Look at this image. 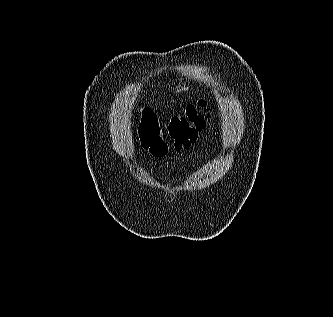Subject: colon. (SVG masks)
<instances>
[{
	"label": "colon",
	"instance_id": "obj_1",
	"mask_svg": "<svg viewBox=\"0 0 333 317\" xmlns=\"http://www.w3.org/2000/svg\"><path fill=\"white\" fill-rule=\"evenodd\" d=\"M206 105V101L200 99L187 105L183 113L174 115L166 129L168 139L163 135L155 112L149 108L141 110L139 137L142 146L158 157L166 155L170 145L178 150L188 148L206 125Z\"/></svg>",
	"mask_w": 333,
	"mask_h": 317
}]
</instances>
